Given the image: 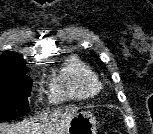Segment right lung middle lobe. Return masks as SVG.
I'll return each mask as SVG.
<instances>
[{
  "label": "right lung middle lobe",
  "mask_w": 153,
  "mask_h": 134,
  "mask_svg": "<svg viewBox=\"0 0 153 134\" xmlns=\"http://www.w3.org/2000/svg\"><path fill=\"white\" fill-rule=\"evenodd\" d=\"M32 88L29 76L0 77V123L30 112L28 97Z\"/></svg>",
  "instance_id": "right-lung-middle-lobe-1"
}]
</instances>
